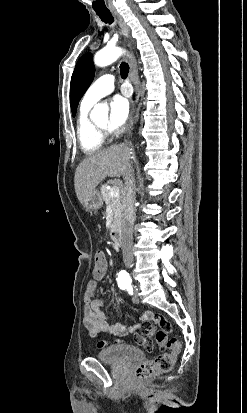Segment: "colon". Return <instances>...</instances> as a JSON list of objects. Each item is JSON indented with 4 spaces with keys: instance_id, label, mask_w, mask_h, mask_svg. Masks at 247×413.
I'll use <instances>...</instances> for the list:
<instances>
[{
    "instance_id": "1",
    "label": "colon",
    "mask_w": 247,
    "mask_h": 413,
    "mask_svg": "<svg viewBox=\"0 0 247 413\" xmlns=\"http://www.w3.org/2000/svg\"><path fill=\"white\" fill-rule=\"evenodd\" d=\"M109 270V265L105 263V250L98 249L96 254L92 255V277L99 278ZM155 340L158 344H163L166 340L171 344L169 353H159L154 361L139 366L134 373L135 381H152L153 375L157 373L169 372L174 367L175 356L180 349V344L174 337H167L166 332H159ZM106 346L105 341L97 343L98 348Z\"/></svg>"
}]
</instances>
